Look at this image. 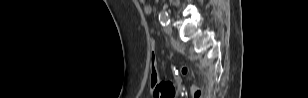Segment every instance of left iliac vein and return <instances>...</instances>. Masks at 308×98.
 Masks as SVG:
<instances>
[{
	"label": "left iliac vein",
	"instance_id": "left-iliac-vein-1",
	"mask_svg": "<svg viewBox=\"0 0 308 98\" xmlns=\"http://www.w3.org/2000/svg\"><path fill=\"white\" fill-rule=\"evenodd\" d=\"M164 31H165L166 34H171V33H172V27H171V25H166V26L164 27Z\"/></svg>",
	"mask_w": 308,
	"mask_h": 98
}]
</instances>
